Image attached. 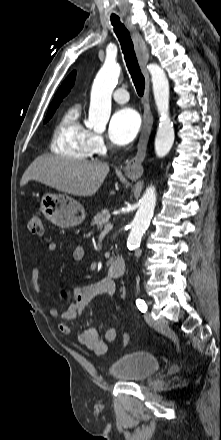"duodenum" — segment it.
Wrapping results in <instances>:
<instances>
[{
	"label": "duodenum",
	"instance_id": "1",
	"mask_svg": "<svg viewBox=\"0 0 221 440\" xmlns=\"http://www.w3.org/2000/svg\"><path fill=\"white\" fill-rule=\"evenodd\" d=\"M109 275L112 278H118L124 275L126 271V263L125 260L122 257H116L114 258L109 265Z\"/></svg>",
	"mask_w": 221,
	"mask_h": 440
}]
</instances>
